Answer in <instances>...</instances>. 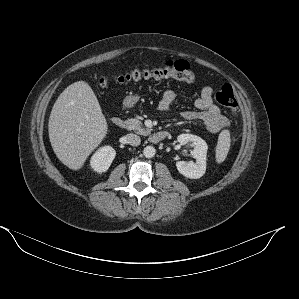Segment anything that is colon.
Returning a JSON list of instances; mask_svg holds the SVG:
<instances>
[{
	"mask_svg": "<svg viewBox=\"0 0 299 299\" xmlns=\"http://www.w3.org/2000/svg\"><path fill=\"white\" fill-rule=\"evenodd\" d=\"M178 80L183 82H193L195 74L191 70L190 65L185 60H170L164 62L160 66H136L126 70L115 76H106L100 79L101 87H108L113 84H122L140 80ZM216 100L231 115H235L238 110V102L236 100L233 88L229 84L221 86L216 93Z\"/></svg>",
	"mask_w": 299,
	"mask_h": 299,
	"instance_id": "1",
	"label": "colon"
}]
</instances>
